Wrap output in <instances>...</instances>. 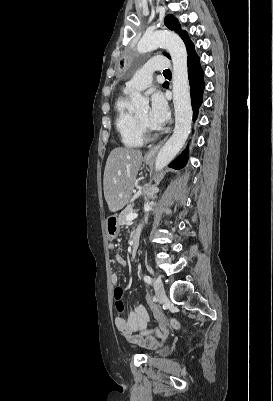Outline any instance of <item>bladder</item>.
I'll return each mask as SVG.
<instances>
[{
    "instance_id": "bladder-1",
    "label": "bladder",
    "mask_w": 273,
    "mask_h": 401,
    "mask_svg": "<svg viewBox=\"0 0 273 401\" xmlns=\"http://www.w3.org/2000/svg\"><path fill=\"white\" fill-rule=\"evenodd\" d=\"M169 353V348L168 347H160L156 350V354L160 356L167 355Z\"/></svg>"
}]
</instances>
